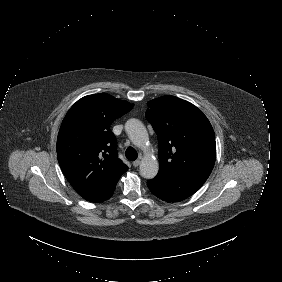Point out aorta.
Returning <instances> with one entry per match:
<instances>
[{"label":"aorta","mask_w":282,"mask_h":282,"mask_svg":"<svg viewBox=\"0 0 282 282\" xmlns=\"http://www.w3.org/2000/svg\"><path fill=\"white\" fill-rule=\"evenodd\" d=\"M124 130L134 145L143 147L148 142V133L141 120L129 118L124 124ZM139 170L142 178L151 180L157 176L159 165L153 156H146L141 160Z\"/></svg>","instance_id":"1"}]
</instances>
